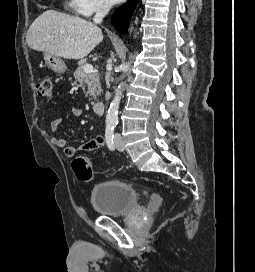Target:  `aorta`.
I'll use <instances>...</instances> for the list:
<instances>
[{
	"instance_id": "1",
	"label": "aorta",
	"mask_w": 255,
	"mask_h": 272,
	"mask_svg": "<svg viewBox=\"0 0 255 272\" xmlns=\"http://www.w3.org/2000/svg\"><path fill=\"white\" fill-rule=\"evenodd\" d=\"M120 68L122 72H127L129 70V63H123ZM123 85H124L123 83H120L118 85V88L115 92V96L112 102L110 103L105 120L106 129H113L118 124V109L122 97Z\"/></svg>"
}]
</instances>
